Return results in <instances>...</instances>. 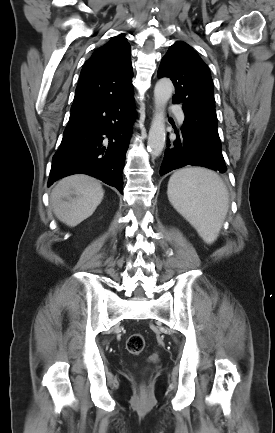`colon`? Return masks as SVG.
<instances>
[{"instance_id":"colon-1","label":"colon","mask_w":275,"mask_h":433,"mask_svg":"<svg viewBox=\"0 0 275 433\" xmlns=\"http://www.w3.org/2000/svg\"><path fill=\"white\" fill-rule=\"evenodd\" d=\"M144 338L140 333L131 334L126 341V348L132 355H139L144 349Z\"/></svg>"}]
</instances>
